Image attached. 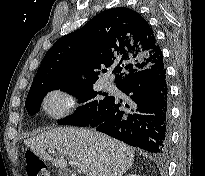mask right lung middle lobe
I'll list each match as a JSON object with an SVG mask.
<instances>
[{
	"label": "right lung middle lobe",
	"mask_w": 205,
	"mask_h": 176,
	"mask_svg": "<svg viewBox=\"0 0 205 176\" xmlns=\"http://www.w3.org/2000/svg\"><path fill=\"white\" fill-rule=\"evenodd\" d=\"M93 84L70 83L61 85H47L28 93L25 106L30 115L39 111L43 98L49 90L62 88L63 91L76 95L81 102H87L77 109V113L67 119L59 120L60 125L87 126L96 112L103 107L111 97H105L103 100H95L97 92L93 90Z\"/></svg>",
	"instance_id": "dd1d6c3e"
}]
</instances>
